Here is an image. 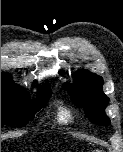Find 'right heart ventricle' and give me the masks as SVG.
Listing matches in <instances>:
<instances>
[{
    "label": "right heart ventricle",
    "mask_w": 123,
    "mask_h": 152,
    "mask_svg": "<svg viewBox=\"0 0 123 152\" xmlns=\"http://www.w3.org/2000/svg\"><path fill=\"white\" fill-rule=\"evenodd\" d=\"M57 120L62 124H69L73 121V117L69 110L66 108H60L57 113Z\"/></svg>",
    "instance_id": "1"
}]
</instances>
